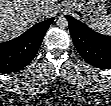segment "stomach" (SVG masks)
Masks as SVG:
<instances>
[{
  "label": "stomach",
  "mask_w": 111,
  "mask_h": 106,
  "mask_svg": "<svg viewBox=\"0 0 111 106\" xmlns=\"http://www.w3.org/2000/svg\"><path fill=\"white\" fill-rule=\"evenodd\" d=\"M71 6L75 11H80L85 19L89 18L90 21L94 16L104 17L107 11V4L103 0L72 1Z\"/></svg>",
  "instance_id": "1"
}]
</instances>
